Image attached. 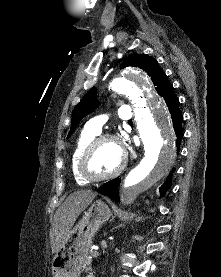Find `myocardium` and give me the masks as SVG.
Here are the masks:
<instances>
[{"instance_id": "f54148a6", "label": "myocardium", "mask_w": 221, "mask_h": 277, "mask_svg": "<svg viewBox=\"0 0 221 277\" xmlns=\"http://www.w3.org/2000/svg\"><path fill=\"white\" fill-rule=\"evenodd\" d=\"M106 141L114 142L120 147L121 153H122V158H121V161H120V164L118 165V167L115 170H113L112 172H110L108 174H104V175H95L90 172L88 163H89V160H90L92 154L95 152V150L103 142H106ZM126 163H127L126 152H125L120 140L112 134H102V135L96 136L86 146V148L82 152L81 157L78 162V170H79L80 175L85 180H87L89 182H99V181L109 180V179H112V178L118 176L125 168Z\"/></svg>"}]
</instances>
